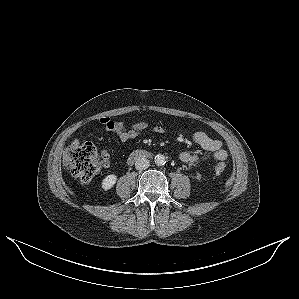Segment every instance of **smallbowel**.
Masks as SVG:
<instances>
[{
	"label": "small bowel",
	"mask_w": 299,
	"mask_h": 299,
	"mask_svg": "<svg viewBox=\"0 0 299 299\" xmlns=\"http://www.w3.org/2000/svg\"><path fill=\"white\" fill-rule=\"evenodd\" d=\"M99 121L106 131L115 133L122 142L134 139L148 130L156 134H161L165 131L164 128L159 125L149 128L148 124L144 121L136 122L129 128H125V124L123 122L113 121L108 117H103ZM192 139L202 149L213 152V156L216 160L223 161L227 159L228 153L223 148V142L220 139L211 138L203 131L194 132ZM78 142V140H74L73 144H77ZM102 153L108 158L107 164L104 166L107 167L109 165V154L107 149H102ZM199 158L200 157L197 153L190 151H182L179 154V159L189 165L196 164L199 161Z\"/></svg>",
	"instance_id": "c3829d8e"
}]
</instances>
